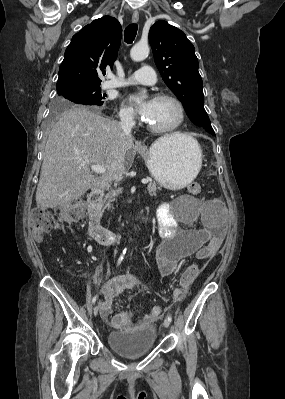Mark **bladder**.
<instances>
[{
  "label": "bladder",
  "instance_id": "31cf9c89",
  "mask_svg": "<svg viewBox=\"0 0 285 399\" xmlns=\"http://www.w3.org/2000/svg\"><path fill=\"white\" fill-rule=\"evenodd\" d=\"M193 198L181 196L175 203L185 205ZM106 341L110 349L126 359H134L151 352L156 342V331L150 327H138L124 332H109Z\"/></svg>",
  "mask_w": 285,
  "mask_h": 399
}]
</instances>
